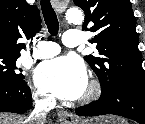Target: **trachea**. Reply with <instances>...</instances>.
<instances>
[{"label":"trachea","instance_id":"1","mask_svg":"<svg viewBox=\"0 0 145 124\" xmlns=\"http://www.w3.org/2000/svg\"><path fill=\"white\" fill-rule=\"evenodd\" d=\"M41 9L44 16L45 24L52 36H56L59 31V22L54 9L49 0H41Z\"/></svg>","mask_w":145,"mask_h":124}]
</instances>
